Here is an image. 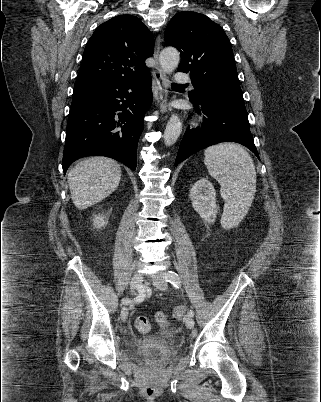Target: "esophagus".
Wrapping results in <instances>:
<instances>
[{
	"label": "esophagus",
	"mask_w": 321,
	"mask_h": 402,
	"mask_svg": "<svg viewBox=\"0 0 321 402\" xmlns=\"http://www.w3.org/2000/svg\"><path fill=\"white\" fill-rule=\"evenodd\" d=\"M160 47H161V37L158 36L155 43V50H154L155 66L153 67L152 75L158 88V102L160 112L164 115H167L168 79L159 64Z\"/></svg>",
	"instance_id": "1"
}]
</instances>
